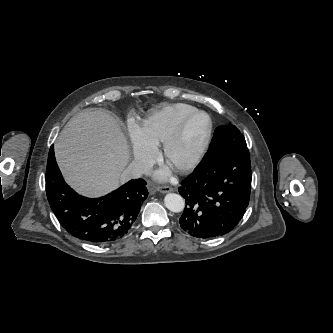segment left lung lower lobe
<instances>
[{"instance_id":"obj_1","label":"left lung lower lobe","mask_w":333,"mask_h":333,"mask_svg":"<svg viewBox=\"0 0 333 333\" xmlns=\"http://www.w3.org/2000/svg\"><path fill=\"white\" fill-rule=\"evenodd\" d=\"M239 134L232 125L216 128L205 157L178 189L186 201L180 227L194 237L224 235L246 212L252 180L248 148H238L230 156L212 153L225 139Z\"/></svg>"}]
</instances>
